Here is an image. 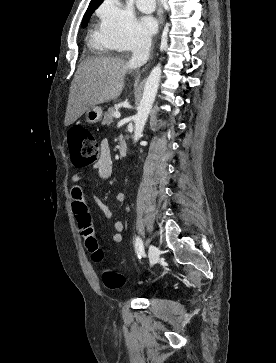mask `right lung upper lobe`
<instances>
[{"label":"right lung upper lobe","mask_w":276,"mask_h":363,"mask_svg":"<svg viewBox=\"0 0 276 363\" xmlns=\"http://www.w3.org/2000/svg\"><path fill=\"white\" fill-rule=\"evenodd\" d=\"M102 2V0H91L90 4H89V7L91 6H99L100 3Z\"/></svg>","instance_id":"1"}]
</instances>
